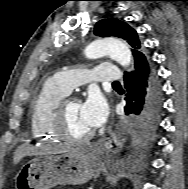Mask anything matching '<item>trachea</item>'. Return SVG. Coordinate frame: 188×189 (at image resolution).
Here are the masks:
<instances>
[{"label": "trachea", "instance_id": "obj_1", "mask_svg": "<svg viewBox=\"0 0 188 189\" xmlns=\"http://www.w3.org/2000/svg\"><path fill=\"white\" fill-rule=\"evenodd\" d=\"M118 84H119L118 81L113 82V85H118Z\"/></svg>", "mask_w": 188, "mask_h": 189}]
</instances>
